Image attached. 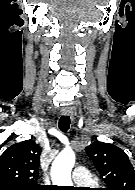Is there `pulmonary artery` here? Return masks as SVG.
<instances>
[{"instance_id":"obj_1","label":"pulmonary artery","mask_w":135,"mask_h":190,"mask_svg":"<svg viewBox=\"0 0 135 190\" xmlns=\"http://www.w3.org/2000/svg\"><path fill=\"white\" fill-rule=\"evenodd\" d=\"M74 182L78 185L85 186L92 183L91 176L85 167L78 166L72 173Z\"/></svg>"}]
</instances>
